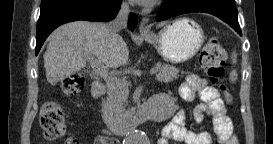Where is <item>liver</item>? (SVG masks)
Instances as JSON below:
<instances>
[{"instance_id": "obj_1", "label": "liver", "mask_w": 273, "mask_h": 144, "mask_svg": "<svg viewBox=\"0 0 273 144\" xmlns=\"http://www.w3.org/2000/svg\"><path fill=\"white\" fill-rule=\"evenodd\" d=\"M86 54L110 68L125 66L129 60L127 44L121 36L110 33L109 24L70 22L58 27L49 37L43 56L47 81L56 85L86 67Z\"/></svg>"}]
</instances>
